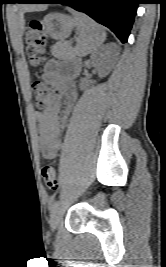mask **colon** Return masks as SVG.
Masks as SVG:
<instances>
[{
	"label": "colon",
	"mask_w": 166,
	"mask_h": 267,
	"mask_svg": "<svg viewBox=\"0 0 166 267\" xmlns=\"http://www.w3.org/2000/svg\"><path fill=\"white\" fill-rule=\"evenodd\" d=\"M46 44L47 34L44 23L41 20H32L26 32V52L33 66L37 67L43 63L42 54ZM32 91L39 109H46L56 101L57 92L42 81H35L32 84ZM42 177L48 189L54 192L58 190L57 173L52 165L43 166Z\"/></svg>",
	"instance_id": "5ec220e1"
}]
</instances>
